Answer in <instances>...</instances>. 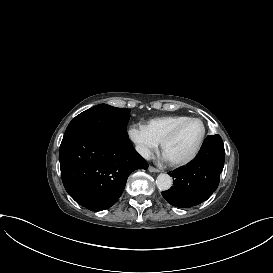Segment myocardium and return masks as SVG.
<instances>
[{
  "label": "myocardium",
  "instance_id": "f54148a6",
  "mask_svg": "<svg viewBox=\"0 0 273 273\" xmlns=\"http://www.w3.org/2000/svg\"><path fill=\"white\" fill-rule=\"evenodd\" d=\"M200 121L203 125V133L202 136L198 142V144L196 145L195 149L192 151V153L181 160H176V161H171L168 160V163L173 166V167H182V166H186L188 164H190L191 162H193L195 160V158L198 156L208 133V125L206 123V121L200 117L197 116H190L187 119L177 123L165 136L164 138L161 140L160 145H161V150L164 153V149L165 146L174 139V137L176 136V134L179 132V130L187 123L191 122V121Z\"/></svg>",
  "mask_w": 273,
  "mask_h": 273
}]
</instances>
